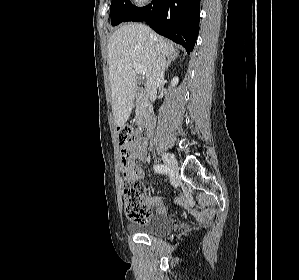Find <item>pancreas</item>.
Wrapping results in <instances>:
<instances>
[{
    "label": "pancreas",
    "instance_id": "obj_1",
    "mask_svg": "<svg viewBox=\"0 0 299 280\" xmlns=\"http://www.w3.org/2000/svg\"><path fill=\"white\" fill-rule=\"evenodd\" d=\"M144 113H145V107L141 101H138L136 103V118L138 123L141 121V118Z\"/></svg>",
    "mask_w": 299,
    "mask_h": 280
}]
</instances>
